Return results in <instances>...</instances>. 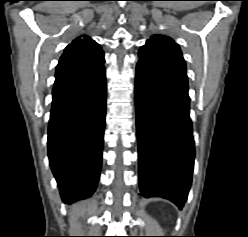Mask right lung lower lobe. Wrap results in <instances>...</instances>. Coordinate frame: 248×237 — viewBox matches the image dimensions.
<instances>
[{"instance_id": "98d812e1", "label": "right lung lower lobe", "mask_w": 248, "mask_h": 237, "mask_svg": "<svg viewBox=\"0 0 248 237\" xmlns=\"http://www.w3.org/2000/svg\"><path fill=\"white\" fill-rule=\"evenodd\" d=\"M106 114L103 64L56 77L48 128L50 166L62 199L90 197L98 184Z\"/></svg>"}]
</instances>
